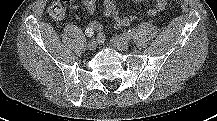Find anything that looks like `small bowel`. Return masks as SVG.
Here are the masks:
<instances>
[{"label": "small bowel", "instance_id": "obj_1", "mask_svg": "<svg viewBox=\"0 0 217 121\" xmlns=\"http://www.w3.org/2000/svg\"><path fill=\"white\" fill-rule=\"evenodd\" d=\"M134 2H141L142 0H132ZM154 5L148 10L149 16H155L157 13L163 11L166 8L167 0H153ZM82 4L86 8L89 14H94L96 11L97 0H81ZM71 5L76 6V2L71 0ZM104 16L113 18V26L115 29H121L129 26L134 20L135 16H121L116 9L115 0H103ZM89 28L98 32L100 40L105 38V34L102 31V24L97 20H91Z\"/></svg>", "mask_w": 217, "mask_h": 121}]
</instances>
